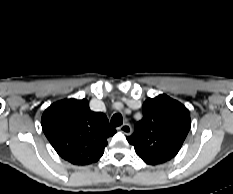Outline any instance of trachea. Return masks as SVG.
<instances>
[{
    "instance_id": "1",
    "label": "trachea",
    "mask_w": 233,
    "mask_h": 194,
    "mask_svg": "<svg viewBox=\"0 0 233 194\" xmlns=\"http://www.w3.org/2000/svg\"><path fill=\"white\" fill-rule=\"evenodd\" d=\"M123 123V118L120 113H116L112 116L111 118V126L112 127H117L120 126Z\"/></svg>"
}]
</instances>
